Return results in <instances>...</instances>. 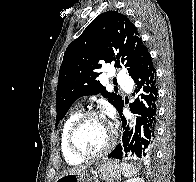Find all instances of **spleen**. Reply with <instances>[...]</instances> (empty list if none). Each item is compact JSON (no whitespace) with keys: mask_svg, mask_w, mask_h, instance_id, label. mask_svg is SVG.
<instances>
[{"mask_svg":"<svg viewBox=\"0 0 196 182\" xmlns=\"http://www.w3.org/2000/svg\"><path fill=\"white\" fill-rule=\"evenodd\" d=\"M120 169L125 177H132L136 175L138 172V169H136L135 167H133L131 164L128 163H121Z\"/></svg>","mask_w":196,"mask_h":182,"instance_id":"1","label":"spleen"}]
</instances>
